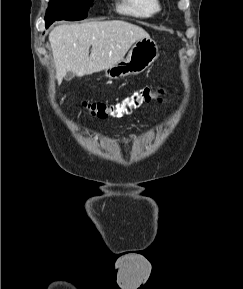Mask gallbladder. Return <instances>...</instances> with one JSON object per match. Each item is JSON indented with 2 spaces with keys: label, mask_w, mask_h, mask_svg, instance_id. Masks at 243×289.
Masks as SVG:
<instances>
[{
  "label": "gallbladder",
  "mask_w": 243,
  "mask_h": 289,
  "mask_svg": "<svg viewBox=\"0 0 243 289\" xmlns=\"http://www.w3.org/2000/svg\"><path fill=\"white\" fill-rule=\"evenodd\" d=\"M64 78L66 81H71L74 78V73L67 72Z\"/></svg>",
  "instance_id": "gallbladder-1"
}]
</instances>
